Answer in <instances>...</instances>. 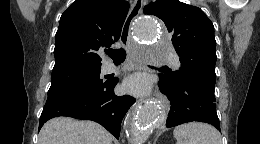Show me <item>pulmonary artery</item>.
<instances>
[{"instance_id": "obj_1", "label": "pulmonary artery", "mask_w": 260, "mask_h": 144, "mask_svg": "<svg viewBox=\"0 0 260 144\" xmlns=\"http://www.w3.org/2000/svg\"><path fill=\"white\" fill-rule=\"evenodd\" d=\"M163 59H172V55L171 54H165L163 56ZM175 65H176V67L179 68L180 67V62L178 60H175ZM115 70H117V67L114 66L113 64H107L104 67V71L105 72H113Z\"/></svg>"}]
</instances>
